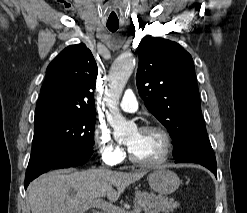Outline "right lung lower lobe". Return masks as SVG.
<instances>
[{
	"label": "right lung lower lobe",
	"mask_w": 247,
	"mask_h": 213,
	"mask_svg": "<svg viewBox=\"0 0 247 213\" xmlns=\"http://www.w3.org/2000/svg\"><path fill=\"white\" fill-rule=\"evenodd\" d=\"M91 154L92 152H82L77 155H68L59 149H53L39 158L29 160L25 176V189L40 174L50 169L82 165L87 162Z\"/></svg>",
	"instance_id": "right-lung-lower-lobe-1"
}]
</instances>
